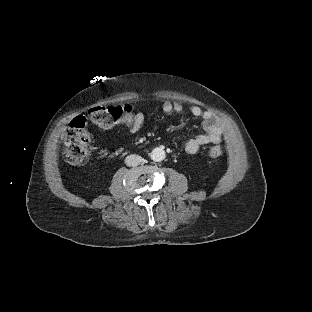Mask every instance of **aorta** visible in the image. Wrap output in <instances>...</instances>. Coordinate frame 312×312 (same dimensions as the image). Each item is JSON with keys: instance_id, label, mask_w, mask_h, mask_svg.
<instances>
[{"instance_id": "1", "label": "aorta", "mask_w": 312, "mask_h": 312, "mask_svg": "<svg viewBox=\"0 0 312 312\" xmlns=\"http://www.w3.org/2000/svg\"><path fill=\"white\" fill-rule=\"evenodd\" d=\"M151 157L154 161H163L166 157V152L162 147H156L152 150Z\"/></svg>"}]
</instances>
